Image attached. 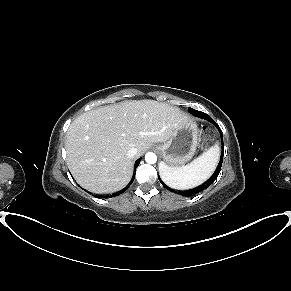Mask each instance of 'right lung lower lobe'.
Masks as SVG:
<instances>
[{
	"mask_svg": "<svg viewBox=\"0 0 291 291\" xmlns=\"http://www.w3.org/2000/svg\"><path fill=\"white\" fill-rule=\"evenodd\" d=\"M139 163H140V160H137L136 163H135V169L138 167ZM133 180H134V177L132 178L131 182L127 185V187L124 188V189H123L122 191H120L119 193H122L123 191H125V190L130 186V184L133 182ZM119 193H116V195H118ZM114 195H115V194H112V195H110V197H113Z\"/></svg>",
	"mask_w": 291,
	"mask_h": 291,
	"instance_id": "1",
	"label": "right lung lower lobe"
}]
</instances>
